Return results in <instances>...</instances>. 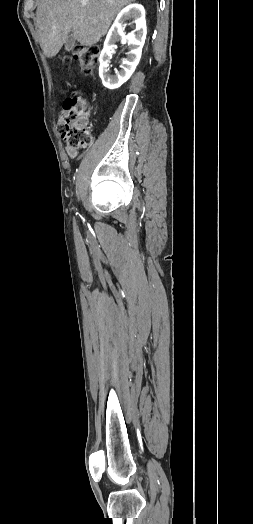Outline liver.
I'll list each match as a JSON object with an SVG mask.
<instances>
[{
    "label": "liver",
    "instance_id": "liver-1",
    "mask_svg": "<svg viewBox=\"0 0 253 524\" xmlns=\"http://www.w3.org/2000/svg\"><path fill=\"white\" fill-rule=\"evenodd\" d=\"M136 0H39L36 22L40 45L54 57L72 32L83 46H92L107 33L117 13Z\"/></svg>",
    "mask_w": 253,
    "mask_h": 524
}]
</instances>
